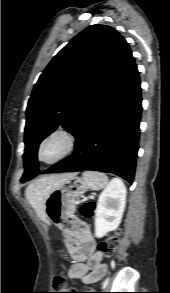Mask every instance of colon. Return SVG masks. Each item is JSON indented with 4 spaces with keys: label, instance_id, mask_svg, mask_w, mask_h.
<instances>
[{
    "label": "colon",
    "instance_id": "5ec220e1",
    "mask_svg": "<svg viewBox=\"0 0 170 293\" xmlns=\"http://www.w3.org/2000/svg\"><path fill=\"white\" fill-rule=\"evenodd\" d=\"M95 207L96 205L94 202L87 201V202H84L80 206L79 210H80V213L84 217L89 218L93 214ZM63 231L67 233L68 235L77 236L85 244H89V242L84 239L85 227L82 223L67 222L63 226ZM118 245H119V235L115 233L99 246L98 251L103 256L107 257L111 255L117 249ZM53 285L56 291H58L57 293H87V292H76L77 291L76 287L67 284L65 279L61 276H56L54 278Z\"/></svg>",
    "mask_w": 170,
    "mask_h": 293
}]
</instances>
